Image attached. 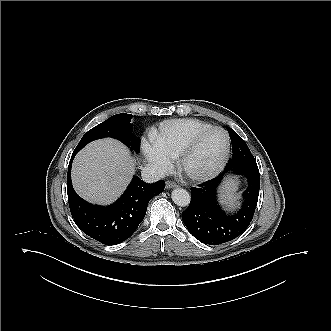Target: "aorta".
<instances>
[{
    "instance_id": "762f6f07",
    "label": "aorta",
    "mask_w": 331,
    "mask_h": 331,
    "mask_svg": "<svg viewBox=\"0 0 331 331\" xmlns=\"http://www.w3.org/2000/svg\"><path fill=\"white\" fill-rule=\"evenodd\" d=\"M171 198L173 202L180 207L188 206L191 201V196L189 192L182 188L174 189L172 191Z\"/></svg>"
}]
</instances>
